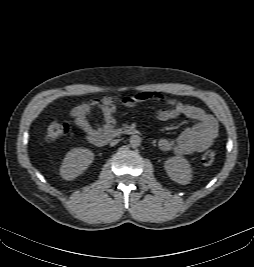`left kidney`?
<instances>
[{"mask_svg": "<svg viewBox=\"0 0 254 267\" xmlns=\"http://www.w3.org/2000/svg\"><path fill=\"white\" fill-rule=\"evenodd\" d=\"M168 176L175 182L186 185L192 180V169L189 162L181 156L169 158L164 163Z\"/></svg>", "mask_w": 254, "mask_h": 267, "instance_id": "1", "label": "left kidney"}]
</instances>
